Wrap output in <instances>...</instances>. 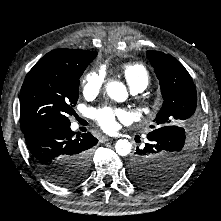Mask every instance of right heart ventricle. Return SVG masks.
<instances>
[{
  "label": "right heart ventricle",
  "instance_id": "obj_1",
  "mask_svg": "<svg viewBox=\"0 0 221 221\" xmlns=\"http://www.w3.org/2000/svg\"><path fill=\"white\" fill-rule=\"evenodd\" d=\"M121 74L132 90L142 91L150 82V75L141 63H125L121 66Z\"/></svg>",
  "mask_w": 221,
  "mask_h": 221
}]
</instances>
